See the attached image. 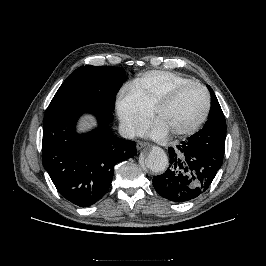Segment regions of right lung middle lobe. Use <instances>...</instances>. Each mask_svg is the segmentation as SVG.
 <instances>
[{
    "label": "right lung middle lobe",
    "mask_w": 266,
    "mask_h": 266,
    "mask_svg": "<svg viewBox=\"0 0 266 266\" xmlns=\"http://www.w3.org/2000/svg\"><path fill=\"white\" fill-rule=\"evenodd\" d=\"M126 78L124 70L113 66H81L63 82L52 101L98 105L113 111L116 93Z\"/></svg>",
    "instance_id": "1"
}]
</instances>
